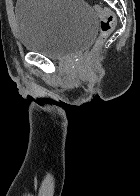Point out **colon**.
<instances>
[{"label":"colon","instance_id":"1","mask_svg":"<svg viewBox=\"0 0 140 196\" xmlns=\"http://www.w3.org/2000/svg\"><path fill=\"white\" fill-rule=\"evenodd\" d=\"M94 8L99 16L100 33L93 47L87 52L81 61L80 67L83 72L88 71L94 65L104 42L116 24V16L112 10L101 5H95Z\"/></svg>","mask_w":140,"mask_h":196}]
</instances>
